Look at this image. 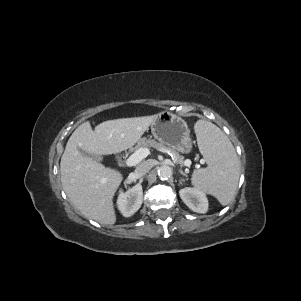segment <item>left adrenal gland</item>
Returning <instances> with one entry per match:
<instances>
[{
  "mask_svg": "<svg viewBox=\"0 0 301 301\" xmlns=\"http://www.w3.org/2000/svg\"><path fill=\"white\" fill-rule=\"evenodd\" d=\"M179 173L186 176V173H184L182 170H179Z\"/></svg>",
  "mask_w": 301,
  "mask_h": 301,
  "instance_id": "left-adrenal-gland-1",
  "label": "left adrenal gland"
}]
</instances>
